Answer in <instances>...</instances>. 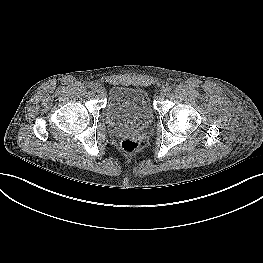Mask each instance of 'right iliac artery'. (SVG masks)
<instances>
[{"label":"right iliac artery","mask_w":263,"mask_h":263,"mask_svg":"<svg viewBox=\"0 0 263 263\" xmlns=\"http://www.w3.org/2000/svg\"><path fill=\"white\" fill-rule=\"evenodd\" d=\"M93 85H94L93 83H90L89 88H93Z\"/></svg>","instance_id":"obj_1"}]
</instances>
